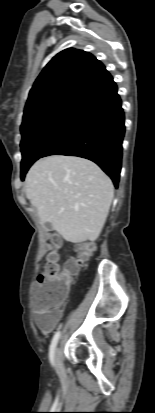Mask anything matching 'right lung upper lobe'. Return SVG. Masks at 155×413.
Returning a JSON list of instances; mask_svg holds the SVG:
<instances>
[{"instance_id":"1","label":"right lung upper lobe","mask_w":155,"mask_h":413,"mask_svg":"<svg viewBox=\"0 0 155 413\" xmlns=\"http://www.w3.org/2000/svg\"><path fill=\"white\" fill-rule=\"evenodd\" d=\"M112 80L104 65L92 54L65 49L51 59L36 79L22 125L59 106L80 104Z\"/></svg>"}]
</instances>
